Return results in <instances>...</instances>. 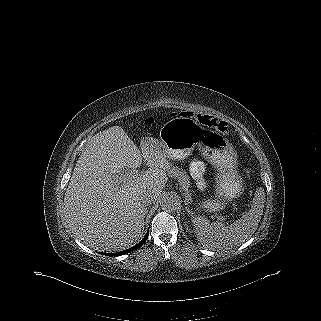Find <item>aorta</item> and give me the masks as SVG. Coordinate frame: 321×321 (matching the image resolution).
<instances>
[{"instance_id": "1", "label": "aorta", "mask_w": 321, "mask_h": 321, "mask_svg": "<svg viewBox=\"0 0 321 321\" xmlns=\"http://www.w3.org/2000/svg\"><path fill=\"white\" fill-rule=\"evenodd\" d=\"M160 205L164 211L173 212L178 209L180 202L176 196L172 194H167L162 197Z\"/></svg>"}]
</instances>
